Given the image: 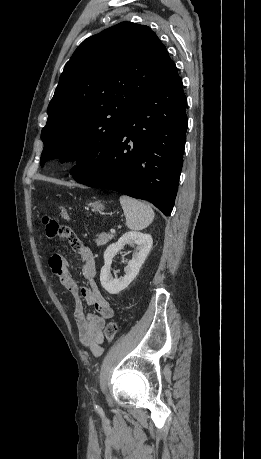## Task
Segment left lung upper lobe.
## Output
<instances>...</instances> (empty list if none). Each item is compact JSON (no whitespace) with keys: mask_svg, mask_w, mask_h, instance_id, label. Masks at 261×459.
Returning a JSON list of instances; mask_svg holds the SVG:
<instances>
[{"mask_svg":"<svg viewBox=\"0 0 261 459\" xmlns=\"http://www.w3.org/2000/svg\"><path fill=\"white\" fill-rule=\"evenodd\" d=\"M145 25L122 22L83 41L66 63L42 129L40 164L77 160L71 175L95 171L139 103L174 66Z\"/></svg>","mask_w":261,"mask_h":459,"instance_id":"obj_1","label":"left lung upper lobe"}]
</instances>
